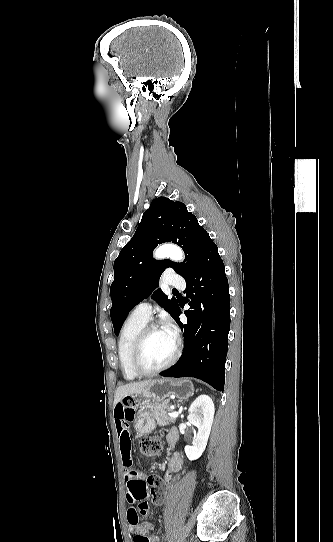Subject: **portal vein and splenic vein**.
I'll list each match as a JSON object with an SVG mask.
<instances>
[{
	"label": "portal vein and splenic vein",
	"mask_w": 333,
	"mask_h": 542,
	"mask_svg": "<svg viewBox=\"0 0 333 542\" xmlns=\"http://www.w3.org/2000/svg\"><path fill=\"white\" fill-rule=\"evenodd\" d=\"M168 416H170V418H177V416H179V412H168Z\"/></svg>",
	"instance_id": "obj_1"
}]
</instances>
